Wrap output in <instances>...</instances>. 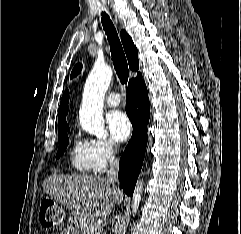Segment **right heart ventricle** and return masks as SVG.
I'll use <instances>...</instances> for the list:
<instances>
[{"instance_id": "right-heart-ventricle-1", "label": "right heart ventricle", "mask_w": 241, "mask_h": 234, "mask_svg": "<svg viewBox=\"0 0 241 234\" xmlns=\"http://www.w3.org/2000/svg\"><path fill=\"white\" fill-rule=\"evenodd\" d=\"M70 161L72 167L78 172L94 171L93 155L89 142L76 138L70 151Z\"/></svg>"}]
</instances>
